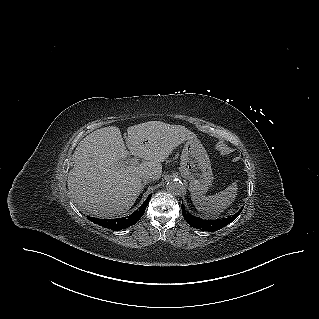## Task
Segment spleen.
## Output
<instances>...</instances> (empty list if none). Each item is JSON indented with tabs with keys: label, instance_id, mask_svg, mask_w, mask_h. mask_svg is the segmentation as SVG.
Returning a JSON list of instances; mask_svg holds the SVG:
<instances>
[{
	"label": "spleen",
	"instance_id": "spleen-1",
	"mask_svg": "<svg viewBox=\"0 0 319 319\" xmlns=\"http://www.w3.org/2000/svg\"><path fill=\"white\" fill-rule=\"evenodd\" d=\"M237 184L234 182L225 190L212 196H201L192 193L191 199L196 209L208 216H215L227 209L235 200Z\"/></svg>",
	"mask_w": 319,
	"mask_h": 319
}]
</instances>
